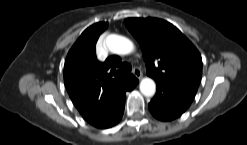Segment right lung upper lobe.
Masks as SVG:
<instances>
[{"label":"right lung upper lobe","instance_id":"right-lung-upper-lobe-1","mask_svg":"<svg viewBox=\"0 0 247 145\" xmlns=\"http://www.w3.org/2000/svg\"><path fill=\"white\" fill-rule=\"evenodd\" d=\"M108 23L88 27L70 49L64 65V82L68 94L83 118L93 126L113 118L121 110L125 92L136 79L120 75L121 59L111 56L99 62L95 46Z\"/></svg>","mask_w":247,"mask_h":145}]
</instances>
